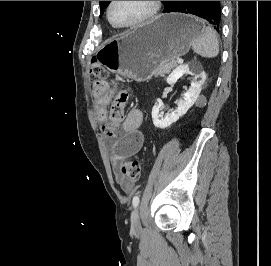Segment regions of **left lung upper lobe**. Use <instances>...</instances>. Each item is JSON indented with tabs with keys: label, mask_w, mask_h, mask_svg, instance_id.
I'll return each instance as SVG.
<instances>
[{
	"label": "left lung upper lobe",
	"mask_w": 271,
	"mask_h": 266,
	"mask_svg": "<svg viewBox=\"0 0 271 266\" xmlns=\"http://www.w3.org/2000/svg\"><path fill=\"white\" fill-rule=\"evenodd\" d=\"M111 1H99V4H100V8H101V13L100 15L103 14L105 8L108 6V4L110 3ZM165 4H167L169 1H163Z\"/></svg>",
	"instance_id": "5c2ea615"
}]
</instances>
